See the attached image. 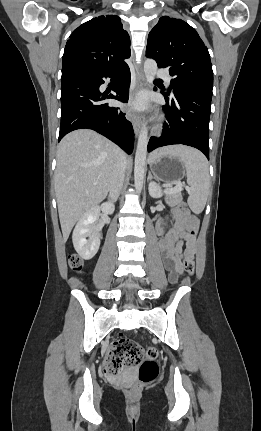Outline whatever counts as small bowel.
I'll return each mask as SVG.
<instances>
[{
  "label": "small bowel",
  "instance_id": "obj_1",
  "mask_svg": "<svg viewBox=\"0 0 261 431\" xmlns=\"http://www.w3.org/2000/svg\"><path fill=\"white\" fill-rule=\"evenodd\" d=\"M172 213L175 222L168 231L165 232L161 220L157 224L158 233L163 235L159 239L157 247L162 256L163 264L174 281L177 276L183 273L182 245L184 242H187L188 250L191 255L193 254L194 239L190 235V231L196 228L197 222L186 210L174 208Z\"/></svg>",
  "mask_w": 261,
  "mask_h": 431
}]
</instances>
